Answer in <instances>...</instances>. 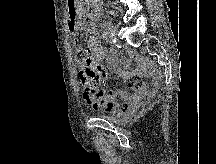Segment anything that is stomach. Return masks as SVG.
<instances>
[{
    "label": "stomach",
    "mask_w": 216,
    "mask_h": 164,
    "mask_svg": "<svg viewBox=\"0 0 216 164\" xmlns=\"http://www.w3.org/2000/svg\"><path fill=\"white\" fill-rule=\"evenodd\" d=\"M67 14H80V9H67Z\"/></svg>",
    "instance_id": "stomach-1"
}]
</instances>
